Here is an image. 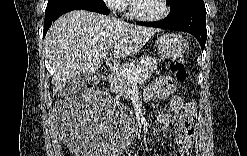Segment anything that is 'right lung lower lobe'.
<instances>
[{
  "instance_id": "right-lung-lower-lobe-1",
  "label": "right lung lower lobe",
  "mask_w": 247,
  "mask_h": 156,
  "mask_svg": "<svg viewBox=\"0 0 247 156\" xmlns=\"http://www.w3.org/2000/svg\"><path fill=\"white\" fill-rule=\"evenodd\" d=\"M78 9H85L92 12L101 14H109V10L103 0H89V1H71L64 0L59 3L47 6L45 11L44 32L46 35L51 24L62 14Z\"/></svg>"
}]
</instances>
